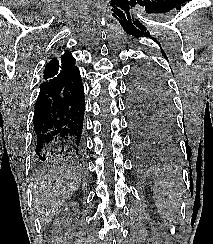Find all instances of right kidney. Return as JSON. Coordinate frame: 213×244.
<instances>
[{
    "label": "right kidney",
    "mask_w": 213,
    "mask_h": 244,
    "mask_svg": "<svg viewBox=\"0 0 213 244\" xmlns=\"http://www.w3.org/2000/svg\"><path fill=\"white\" fill-rule=\"evenodd\" d=\"M76 204L73 202V203H69L68 205H66V209L70 208V207H75Z\"/></svg>",
    "instance_id": "1"
}]
</instances>
